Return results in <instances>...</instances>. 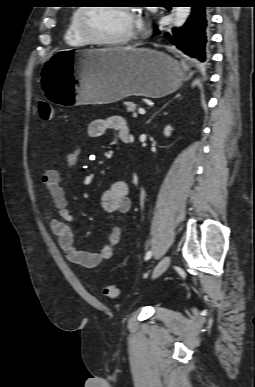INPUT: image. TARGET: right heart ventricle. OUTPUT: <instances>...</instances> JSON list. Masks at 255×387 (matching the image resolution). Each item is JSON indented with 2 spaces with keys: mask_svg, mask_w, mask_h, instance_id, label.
<instances>
[{
  "mask_svg": "<svg viewBox=\"0 0 255 387\" xmlns=\"http://www.w3.org/2000/svg\"><path fill=\"white\" fill-rule=\"evenodd\" d=\"M79 9L80 7H77L72 11L64 34L66 44L73 47H84L90 44L81 36L77 28V15Z\"/></svg>",
  "mask_w": 255,
  "mask_h": 387,
  "instance_id": "1",
  "label": "right heart ventricle"
}]
</instances>
